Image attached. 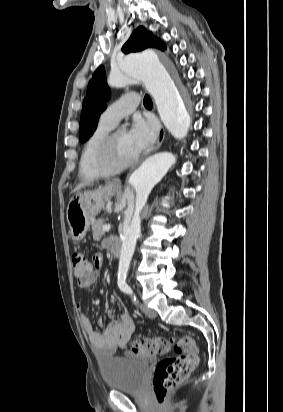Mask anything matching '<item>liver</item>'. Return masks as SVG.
Listing matches in <instances>:
<instances>
[{
  "label": "liver",
  "mask_w": 283,
  "mask_h": 412,
  "mask_svg": "<svg viewBox=\"0 0 283 412\" xmlns=\"http://www.w3.org/2000/svg\"><path fill=\"white\" fill-rule=\"evenodd\" d=\"M84 185H85V184H80V185H78V186L74 189V191L80 190Z\"/></svg>",
  "instance_id": "6515ba94"
}]
</instances>
